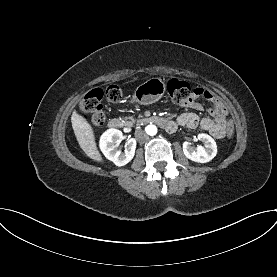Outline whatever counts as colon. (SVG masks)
I'll return each instance as SVG.
<instances>
[{
  "mask_svg": "<svg viewBox=\"0 0 277 277\" xmlns=\"http://www.w3.org/2000/svg\"><path fill=\"white\" fill-rule=\"evenodd\" d=\"M167 89L171 99L177 104H182L192 99L195 94V90H192L187 82L179 79H171L168 82ZM104 96L111 102H117L122 97V91L115 85L109 86L105 91L95 88L89 91L81 102L83 116L95 126H100L105 121V112L102 105ZM226 128L228 130L225 132V139L232 141L235 136L234 129L236 128L234 118L228 119Z\"/></svg>",
  "mask_w": 277,
  "mask_h": 277,
  "instance_id": "obj_1",
  "label": "colon"
}]
</instances>
